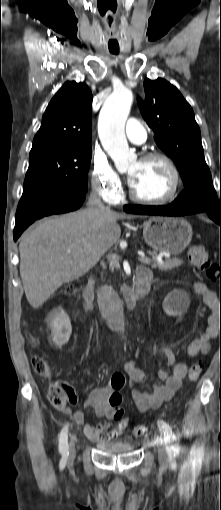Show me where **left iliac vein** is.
<instances>
[{
  "label": "left iliac vein",
  "instance_id": "left-iliac-vein-1",
  "mask_svg": "<svg viewBox=\"0 0 221 510\" xmlns=\"http://www.w3.org/2000/svg\"><path fill=\"white\" fill-rule=\"evenodd\" d=\"M158 458L161 465L166 466L168 464V452H167V444L161 443L158 448Z\"/></svg>",
  "mask_w": 221,
  "mask_h": 510
}]
</instances>
